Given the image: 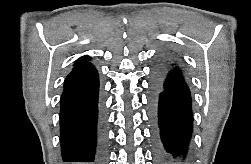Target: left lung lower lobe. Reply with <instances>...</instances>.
Masks as SVG:
<instances>
[{
    "label": "left lung lower lobe",
    "mask_w": 251,
    "mask_h": 164,
    "mask_svg": "<svg viewBox=\"0 0 251 164\" xmlns=\"http://www.w3.org/2000/svg\"><path fill=\"white\" fill-rule=\"evenodd\" d=\"M149 111L157 161L187 162L193 130L192 99L181 67L170 57L161 58L153 69Z\"/></svg>",
    "instance_id": "left-lung-lower-lobe-1"
}]
</instances>
